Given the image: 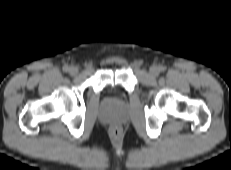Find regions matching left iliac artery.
<instances>
[{"instance_id":"left-iliac-artery-1","label":"left iliac artery","mask_w":231,"mask_h":170,"mask_svg":"<svg viewBox=\"0 0 231 170\" xmlns=\"http://www.w3.org/2000/svg\"><path fill=\"white\" fill-rule=\"evenodd\" d=\"M159 70H160V71H165V67H164V66H161V67L159 68Z\"/></svg>"}]
</instances>
